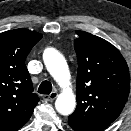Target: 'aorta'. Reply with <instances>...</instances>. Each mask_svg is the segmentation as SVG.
<instances>
[{
    "label": "aorta",
    "instance_id": "762f6f07",
    "mask_svg": "<svg viewBox=\"0 0 131 131\" xmlns=\"http://www.w3.org/2000/svg\"><path fill=\"white\" fill-rule=\"evenodd\" d=\"M43 60L51 76L63 88L58 95L55 107L62 115H69L75 109V96L67 87L70 84V73L65 58L55 49L48 48L44 51Z\"/></svg>",
    "mask_w": 131,
    "mask_h": 131
}]
</instances>
